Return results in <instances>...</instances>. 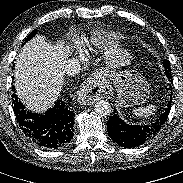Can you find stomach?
I'll use <instances>...</instances> for the list:
<instances>
[{
  "mask_svg": "<svg viewBox=\"0 0 183 183\" xmlns=\"http://www.w3.org/2000/svg\"><path fill=\"white\" fill-rule=\"evenodd\" d=\"M131 54L118 49L111 56L109 67L119 68L129 65ZM117 90V104L121 107L136 106L146 102L149 97V84L146 79L136 71H121L113 73Z\"/></svg>",
  "mask_w": 183,
  "mask_h": 183,
  "instance_id": "obj_1",
  "label": "stomach"
}]
</instances>
